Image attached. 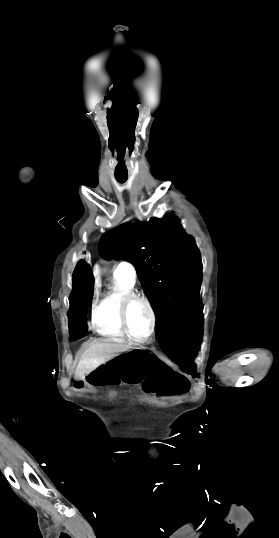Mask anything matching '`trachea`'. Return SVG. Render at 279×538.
<instances>
[{"mask_svg":"<svg viewBox=\"0 0 279 538\" xmlns=\"http://www.w3.org/2000/svg\"><path fill=\"white\" fill-rule=\"evenodd\" d=\"M115 178L119 183H125V181L127 180V177H118V176H116Z\"/></svg>","mask_w":279,"mask_h":538,"instance_id":"3493384b","label":"trachea"}]
</instances>
